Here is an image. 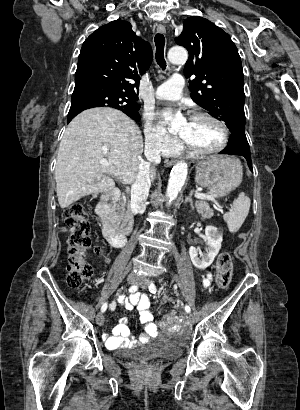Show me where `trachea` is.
<instances>
[{"label":"trachea","instance_id":"3493384b","mask_svg":"<svg viewBox=\"0 0 300 410\" xmlns=\"http://www.w3.org/2000/svg\"><path fill=\"white\" fill-rule=\"evenodd\" d=\"M154 41L156 45V61L164 70L166 68V61L164 59L165 37L163 34L158 33L155 35Z\"/></svg>","mask_w":300,"mask_h":410}]
</instances>
